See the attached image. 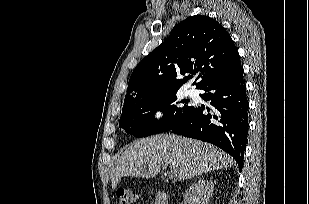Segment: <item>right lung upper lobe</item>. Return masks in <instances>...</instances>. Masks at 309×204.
I'll return each mask as SVG.
<instances>
[{"label": "right lung upper lobe", "instance_id": "1", "mask_svg": "<svg viewBox=\"0 0 309 204\" xmlns=\"http://www.w3.org/2000/svg\"><path fill=\"white\" fill-rule=\"evenodd\" d=\"M240 65L235 44L222 25L205 15L191 16L137 65L124 101L177 92L190 77L177 75L185 73L200 71L196 88L202 89Z\"/></svg>", "mask_w": 309, "mask_h": 204}]
</instances>
